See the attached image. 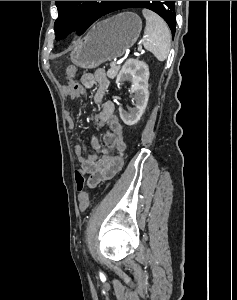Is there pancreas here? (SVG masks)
<instances>
[{"label": "pancreas", "mask_w": 237, "mask_h": 300, "mask_svg": "<svg viewBox=\"0 0 237 300\" xmlns=\"http://www.w3.org/2000/svg\"><path fill=\"white\" fill-rule=\"evenodd\" d=\"M120 69V65L115 66L113 69H109L107 75L109 77V79H114V77H116L118 71Z\"/></svg>", "instance_id": "cf45deb5"}]
</instances>
